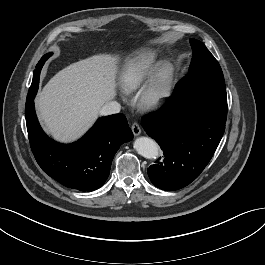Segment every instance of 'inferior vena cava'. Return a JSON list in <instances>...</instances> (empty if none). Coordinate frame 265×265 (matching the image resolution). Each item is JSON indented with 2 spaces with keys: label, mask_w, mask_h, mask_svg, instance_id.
<instances>
[{
  "label": "inferior vena cava",
  "mask_w": 265,
  "mask_h": 265,
  "mask_svg": "<svg viewBox=\"0 0 265 265\" xmlns=\"http://www.w3.org/2000/svg\"><path fill=\"white\" fill-rule=\"evenodd\" d=\"M121 105L117 101H110L106 103L100 110L101 115H111L119 113Z\"/></svg>",
  "instance_id": "1"
}]
</instances>
